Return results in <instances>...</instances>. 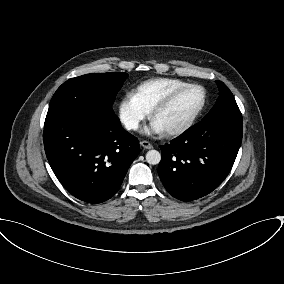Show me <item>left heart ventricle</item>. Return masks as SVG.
I'll use <instances>...</instances> for the list:
<instances>
[{
	"label": "left heart ventricle",
	"instance_id": "1",
	"mask_svg": "<svg viewBox=\"0 0 284 284\" xmlns=\"http://www.w3.org/2000/svg\"><path fill=\"white\" fill-rule=\"evenodd\" d=\"M202 98L201 89H187L177 97L170 107L159 113L153 122L162 131L178 126L196 111L202 102Z\"/></svg>",
	"mask_w": 284,
	"mask_h": 284
}]
</instances>
